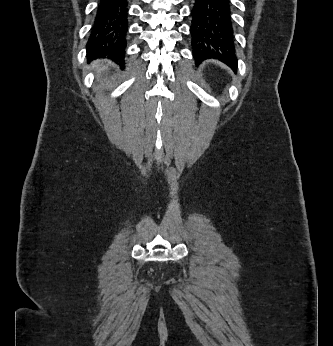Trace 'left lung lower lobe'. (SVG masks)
<instances>
[{
	"instance_id": "0a47b994",
	"label": "left lung lower lobe",
	"mask_w": 333,
	"mask_h": 346,
	"mask_svg": "<svg viewBox=\"0 0 333 346\" xmlns=\"http://www.w3.org/2000/svg\"><path fill=\"white\" fill-rule=\"evenodd\" d=\"M191 16V43L196 62L218 59L236 71L230 1L195 0Z\"/></svg>"
}]
</instances>
